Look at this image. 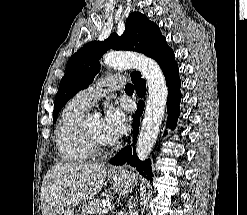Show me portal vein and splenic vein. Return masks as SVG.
I'll list each match as a JSON object with an SVG mask.
<instances>
[{
  "label": "portal vein and splenic vein",
  "mask_w": 247,
  "mask_h": 215,
  "mask_svg": "<svg viewBox=\"0 0 247 215\" xmlns=\"http://www.w3.org/2000/svg\"><path fill=\"white\" fill-rule=\"evenodd\" d=\"M103 206H108V207H109V206H111V204H110L109 202H105V201H104V202H103Z\"/></svg>",
  "instance_id": "obj_1"
}]
</instances>
